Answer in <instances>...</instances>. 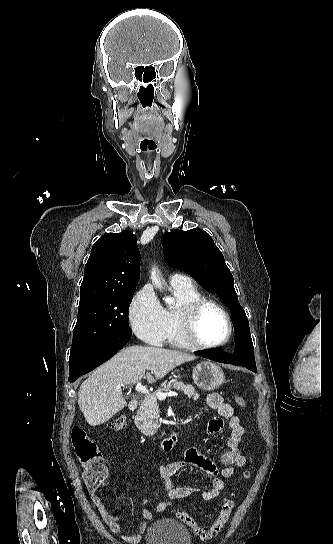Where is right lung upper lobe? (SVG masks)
<instances>
[{"label":"right lung upper lobe","mask_w":333,"mask_h":544,"mask_svg":"<svg viewBox=\"0 0 333 544\" xmlns=\"http://www.w3.org/2000/svg\"><path fill=\"white\" fill-rule=\"evenodd\" d=\"M136 236L106 233L92 247L80 287V303L108 292L134 291L140 278Z\"/></svg>","instance_id":"cb5924a9"}]
</instances>
